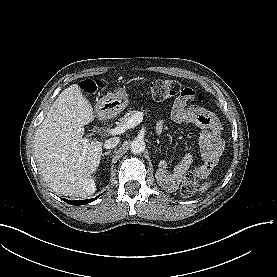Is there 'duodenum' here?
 Returning <instances> with one entry per match:
<instances>
[{
    "label": "duodenum",
    "instance_id": "410a0bca",
    "mask_svg": "<svg viewBox=\"0 0 277 277\" xmlns=\"http://www.w3.org/2000/svg\"><path fill=\"white\" fill-rule=\"evenodd\" d=\"M104 108L103 107H100L99 111H98V114L99 116L103 115L104 114Z\"/></svg>",
    "mask_w": 277,
    "mask_h": 277
}]
</instances>
